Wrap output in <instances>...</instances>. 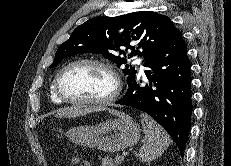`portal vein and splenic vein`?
Returning a JSON list of instances; mask_svg holds the SVG:
<instances>
[{
    "label": "portal vein and splenic vein",
    "instance_id": "1",
    "mask_svg": "<svg viewBox=\"0 0 231 166\" xmlns=\"http://www.w3.org/2000/svg\"><path fill=\"white\" fill-rule=\"evenodd\" d=\"M126 154H127L126 152H123L122 156H119L118 158H122L123 159Z\"/></svg>",
    "mask_w": 231,
    "mask_h": 166
}]
</instances>
